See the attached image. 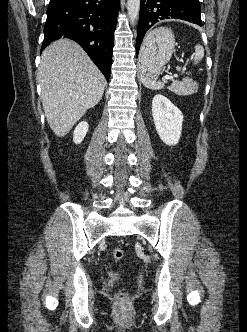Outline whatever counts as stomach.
Wrapping results in <instances>:
<instances>
[{
    "label": "stomach",
    "instance_id": "obj_1",
    "mask_svg": "<svg viewBox=\"0 0 247 332\" xmlns=\"http://www.w3.org/2000/svg\"><path fill=\"white\" fill-rule=\"evenodd\" d=\"M175 37L168 28H158L145 37L139 52V69L143 77L156 78L170 61Z\"/></svg>",
    "mask_w": 247,
    "mask_h": 332
}]
</instances>
